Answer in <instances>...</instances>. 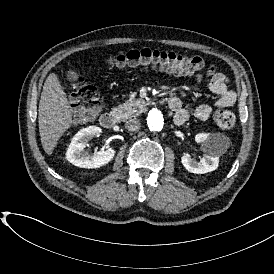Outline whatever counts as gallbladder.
<instances>
[{"label":"gallbladder","instance_id":"1","mask_svg":"<svg viewBox=\"0 0 274 274\" xmlns=\"http://www.w3.org/2000/svg\"><path fill=\"white\" fill-rule=\"evenodd\" d=\"M64 78L70 84H79L82 81V73L78 68L70 67L65 71Z\"/></svg>","mask_w":274,"mask_h":274}]
</instances>
